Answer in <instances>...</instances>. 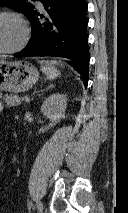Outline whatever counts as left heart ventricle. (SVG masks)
<instances>
[{"mask_svg": "<svg viewBox=\"0 0 128 213\" xmlns=\"http://www.w3.org/2000/svg\"><path fill=\"white\" fill-rule=\"evenodd\" d=\"M23 35L20 23L13 17L0 16V50L16 46Z\"/></svg>", "mask_w": 128, "mask_h": 213, "instance_id": "left-heart-ventricle-1", "label": "left heart ventricle"}]
</instances>
